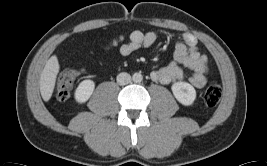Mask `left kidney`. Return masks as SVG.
I'll list each match as a JSON object with an SVG mask.
<instances>
[{
    "mask_svg": "<svg viewBox=\"0 0 267 166\" xmlns=\"http://www.w3.org/2000/svg\"><path fill=\"white\" fill-rule=\"evenodd\" d=\"M175 98L183 105L189 106L196 99V90L187 82H177L172 85Z\"/></svg>",
    "mask_w": 267,
    "mask_h": 166,
    "instance_id": "5707ae66",
    "label": "left kidney"
}]
</instances>
